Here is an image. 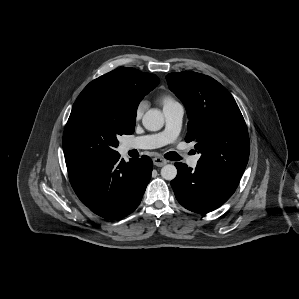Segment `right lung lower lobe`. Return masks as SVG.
Wrapping results in <instances>:
<instances>
[{"instance_id": "right-lung-lower-lobe-1", "label": "right lung lower lobe", "mask_w": 299, "mask_h": 299, "mask_svg": "<svg viewBox=\"0 0 299 299\" xmlns=\"http://www.w3.org/2000/svg\"><path fill=\"white\" fill-rule=\"evenodd\" d=\"M70 183L83 204L106 219H120L141 202L150 181V157L124 162L117 153L103 159L65 158Z\"/></svg>"}]
</instances>
